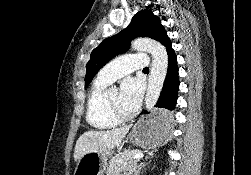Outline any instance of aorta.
Returning a JSON list of instances; mask_svg holds the SVG:
<instances>
[{
  "instance_id": "762f6f07",
  "label": "aorta",
  "mask_w": 251,
  "mask_h": 175,
  "mask_svg": "<svg viewBox=\"0 0 251 175\" xmlns=\"http://www.w3.org/2000/svg\"><path fill=\"white\" fill-rule=\"evenodd\" d=\"M131 48L132 50H136V52H149L152 56V68L150 70L145 97L146 109H152L161 93L168 70L166 48L161 46L159 42L147 40V38L133 40V42H131Z\"/></svg>"
}]
</instances>
